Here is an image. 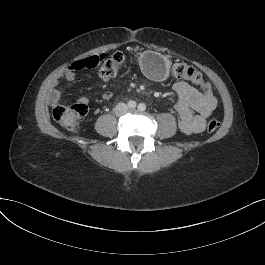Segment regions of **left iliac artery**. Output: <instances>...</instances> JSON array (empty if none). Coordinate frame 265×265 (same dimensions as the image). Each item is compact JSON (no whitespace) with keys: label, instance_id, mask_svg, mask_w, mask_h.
<instances>
[{"label":"left iliac artery","instance_id":"left-iliac-artery-1","mask_svg":"<svg viewBox=\"0 0 265 265\" xmlns=\"http://www.w3.org/2000/svg\"><path fill=\"white\" fill-rule=\"evenodd\" d=\"M138 110H139V111H145V110H146V105H145L144 103H140V104L138 105Z\"/></svg>","mask_w":265,"mask_h":265}]
</instances>
